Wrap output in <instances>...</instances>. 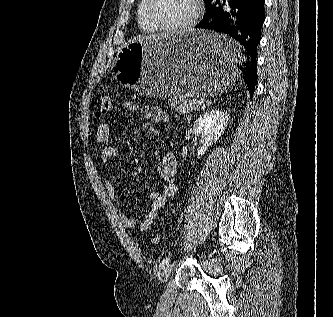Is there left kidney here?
Masks as SVG:
<instances>
[{
  "label": "left kidney",
  "instance_id": "obj_1",
  "mask_svg": "<svg viewBox=\"0 0 333 317\" xmlns=\"http://www.w3.org/2000/svg\"><path fill=\"white\" fill-rule=\"evenodd\" d=\"M229 120V114L222 110H211L201 115L194 124L193 133L201 136L204 143L198 149L197 156H203L208 147L215 143L224 133Z\"/></svg>",
  "mask_w": 333,
  "mask_h": 317
}]
</instances>
